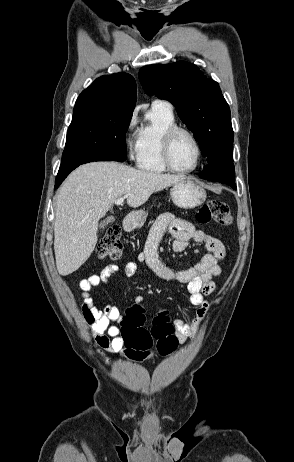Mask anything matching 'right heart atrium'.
<instances>
[{"label": "right heart atrium", "instance_id": "1", "mask_svg": "<svg viewBox=\"0 0 294 462\" xmlns=\"http://www.w3.org/2000/svg\"><path fill=\"white\" fill-rule=\"evenodd\" d=\"M135 124V116L132 115L127 123V126H126V132H127V136L125 138V145L129 151V157L132 158L133 155H134V152L136 151V141L131 138L128 133L131 131V129L133 128Z\"/></svg>", "mask_w": 294, "mask_h": 462}]
</instances>
